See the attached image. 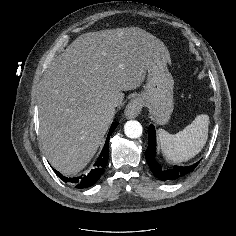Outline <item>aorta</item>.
<instances>
[{"instance_id":"aorta-1","label":"aorta","mask_w":236,"mask_h":236,"mask_svg":"<svg viewBox=\"0 0 236 236\" xmlns=\"http://www.w3.org/2000/svg\"><path fill=\"white\" fill-rule=\"evenodd\" d=\"M142 125L135 120L127 121L124 125L125 135L129 138H139L142 135Z\"/></svg>"}]
</instances>
